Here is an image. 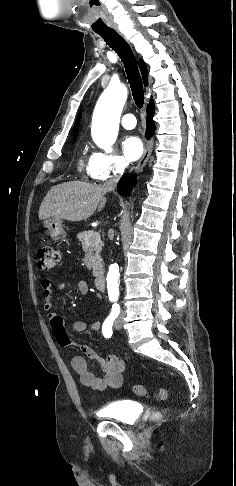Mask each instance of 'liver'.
Returning a JSON list of instances; mask_svg holds the SVG:
<instances>
[{
	"label": "liver",
	"mask_w": 236,
	"mask_h": 486,
	"mask_svg": "<svg viewBox=\"0 0 236 486\" xmlns=\"http://www.w3.org/2000/svg\"><path fill=\"white\" fill-rule=\"evenodd\" d=\"M106 188L81 181H71L53 186L39 208V219L54 217L68 221L88 219L106 203Z\"/></svg>",
	"instance_id": "6515ba94"
}]
</instances>
